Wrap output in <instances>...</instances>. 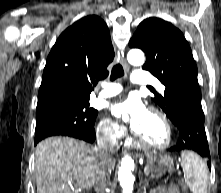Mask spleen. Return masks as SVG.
Wrapping results in <instances>:
<instances>
[{
  "label": "spleen",
  "mask_w": 221,
  "mask_h": 193,
  "mask_svg": "<svg viewBox=\"0 0 221 193\" xmlns=\"http://www.w3.org/2000/svg\"><path fill=\"white\" fill-rule=\"evenodd\" d=\"M181 159L186 183L191 192L207 193L208 169L205 162L191 151H183Z\"/></svg>",
  "instance_id": "spleen-1"
}]
</instances>
